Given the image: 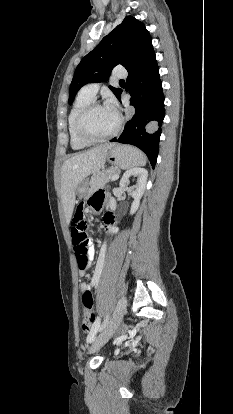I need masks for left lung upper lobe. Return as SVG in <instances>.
Here are the masks:
<instances>
[{
	"instance_id": "obj_1",
	"label": "left lung upper lobe",
	"mask_w": 233,
	"mask_h": 414,
	"mask_svg": "<svg viewBox=\"0 0 233 414\" xmlns=\"http://www.w3.org/2000/svg\"><path fill=\"white\" fill-rule=\"evenodd\" d=\"M153 53L152 40L144 24L132 16H126L77 66L70 85L69 104L83 85L106 81L117 64L131 72ZM109 88L118 98L122 90L112 86Z\"/></svg>"
}]
</instances>
